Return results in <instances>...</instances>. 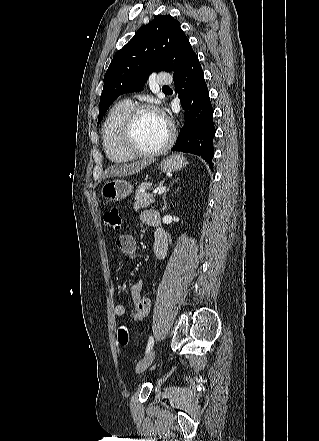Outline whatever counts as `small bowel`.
Here are the masks:
<instances>
[{
	"mask_svg": "<svg viewBox=\"0 0 319 441\" xmlns=\"http://www.w3.org/2000/svg\"><path fill=\"white\" fill-rule=\"evenodd\" d=\"M141 221L154 229V245L153 251L157 259L161 260L166 257L168 249V240L165 231L160 227V215L155 210H146L141 213ZM118 250L133 259L137 253V243L133 236L123 234L116 239ZM129 292L133 301L134 309L129 314L133 321H142L148 314L150 309V299L141 295L142 282L136 281L129 285ZM117 317L127 315V309L123 304H115L113 308Z\"/></svg>",
	"mask_w": 319,
	"mask_h": 441,
	"instance_id": "1",
	"label": "small bowel"
}]
</instances>
